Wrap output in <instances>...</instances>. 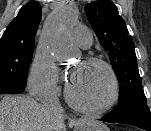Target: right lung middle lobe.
<instances>
[{
	"label": "right lung middle lobe",
	"mask_w": 151,
	"mask_h": 131,
	"mask_svg": "<svg viewBox=\"0 0 151 131\" xmlns=\"http://www.w3.org/2000/svg\"><path fill=\"white\" fill-rule=\"evenodd\" d=\"M34 45L0 43V93H21L25 89Z\"/></svg>",
	"instance_id": "dd1d6c3e"
}]
</instances>
